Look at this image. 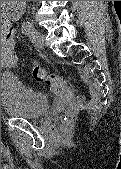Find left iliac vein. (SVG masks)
<instances>
[{
	"mask_svg": "<svg viewBox=\"0 0 121 169\" xmlns=\"http://www.w3.org/2000/svg\"><path fill=\"white\" fill-rule=\"evenodd\" d=\"M31 41L39 48H44V36L38 30H32L30 33Z\"/></svg>",
	"mask_w": 121,
	"mask_h": 169,
	"instance_id": "left-iliac-vein-1",
	"label": "left iliac vein"
}]
</instances>
